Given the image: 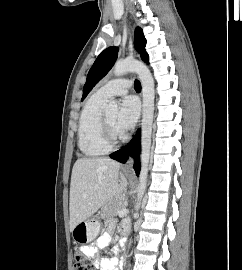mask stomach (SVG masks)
I'll list each match as a JSON object with an SVG mask.
<instances>
[{
    "label": "stomach",
    "mask_w": 242,
    "mask_h": 270,
    "mask_svg": "<svg viewBox=\"0 0 242 270\" xmlns=\"http://www.w3.org/2000/svg\"><path fill=\"white\" fill-rule=\"evenodd\" d=\"M100 231V222L97 218H88L78 223L72 230L74 243L87 244L92 242Z\"/></svg>",
    "instance_id": "1"
}]
</instances>
